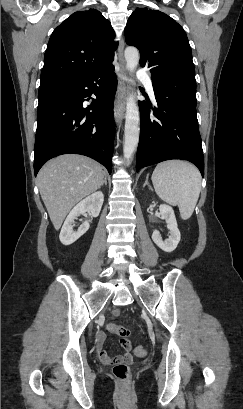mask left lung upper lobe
I'll return each mask as SVG.
<instances>
[{"mask_svg":"<svg viewBox=\"0 0 243 409\" xmlns=\"http://www.w3.org/2000/svg\"><path fill=\"white\" fill-rule=\"evenodd\" d=\"M125 40L139 49L140 65L150 68L152 80L177 72L195 73L186 33L163 12L137 8L128 19Z\"/></svg>","mask_w":243,"mask_h":409,"instance_id":"1","label":"left lung upper lobe"}]
</instances>
